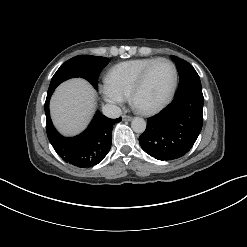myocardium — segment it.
I'll return each instance as SVG.
<instances>
[{
	"label": "myocardium",
	"mask_w": 247,
	"mask_h": 247,
	"mask_svg": "<svg viewBox=\"0 0 247 247\" xmlns=\"http://www.w3.org/2000/svg\"><path fill=\"white\" fill-rule=\"evenodd\" d=\"M167 62L171 65L172 69H173V82H172V86L167 94V96L164 98V100L162 102H160L158 105L151 107V108H142L139 107L136 103V95L138 93V91L141 89V87L143 86L146 77L148 75V73L150 72V70L153 68V66L159 62ZM177 84H178V69L176 67V64L165 57H160L155 59L153 62H151L149 65H147L142 72L139 74L138 78L136 79V81L134 82L131 90H130V101L133 104V106L138 109L140 112L144 113V114H155L160 112L161 110H163L171 101V99L174 96V93L176 91L177 88Z\"/></svg>",
	"instance_id": "myocardium-1"
}]
</instances>
